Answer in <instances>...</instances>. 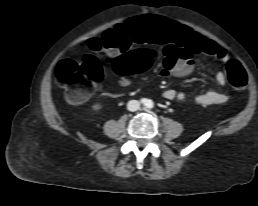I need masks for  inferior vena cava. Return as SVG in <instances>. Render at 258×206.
Wrapping results in <instances>:
<instances>
[{
    "instance_id": "inferior-vena-cava-1",
    "label": "inferior vena cava",
    "mask_w": 258,
    "mask_h": 206,
    "mask_svg": "<svg viewBox=\"0 0 258 206\" xmlns=\"http://www.w3.org/2000/svg\"><path fill=\"white\" fill-rule=\"evenodd\" d=\"M127 108L129 111H136L140 108V103L137 100H131L128 102Z\"/></svg>"
}]
</instances>
